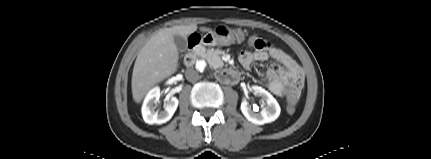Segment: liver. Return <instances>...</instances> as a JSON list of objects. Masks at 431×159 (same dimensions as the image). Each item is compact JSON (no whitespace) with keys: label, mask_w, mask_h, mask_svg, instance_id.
I'll return each mask as SVG.
<instances>
[{"label":"liver","mask_w":431,"mask_h":159,"mask_svg":"<svg viewBox=\"0 0 431 159\" xmlns=\"http://www.w3.org/2000/svg\"><path fill=\"white\" fill-rule=\"evenodd\" d=\"M196 30V24L164 28L145 43L137 55L132 74V95L136 103H140L152 87L177 71L179 53L174 36L187 38ZM200 30L205 32L210 28L201 27Z\"/></svg>","instance_id":"obj_1"}]
</instances>
